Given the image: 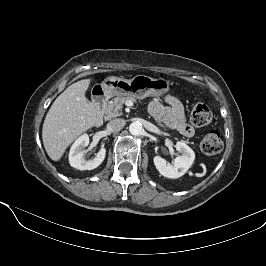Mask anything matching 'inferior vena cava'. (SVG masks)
I'll return each instance as SVG.
<instances>
[{"mask_svg":"<svg viewBox=\"0 0 266 266\" xmlns=\"http://www.w3.org/2000/svg\"><path fill=\"white\" fill-rule=\"evenodd\" d=\"M125 124L126 121L124 119L116 118L109 121V123L107 124V129L110 132H117L120 131L125 126Z\"/></svg>","mask_w":266,"mask_h":266,"instance_id":"602c4592","label":"inferior vena cava"}]
</instances>
